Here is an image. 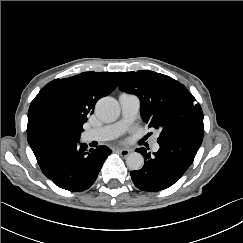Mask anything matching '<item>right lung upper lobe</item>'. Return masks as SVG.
<instances>
[{
    "label": "right lung upper lobe",
    "instance_id": "right-lung-upper-lobe-1",
    "mask_svg": "<svg viewBox=\"0 0 243 243\" xmlns=\"http://www.w3.org/2000/svg\"><path fill=\"white\" fill-rule=\"evenodd\" d=\"M121 72H83L45 85L33 99L28 111L27 135L45 130L46 112L57 110L83 126L94 112L96 102L117 86Z\"/></svg>",
    "mask_w": 243,
    "mask_h": 243
}]
</instances>
